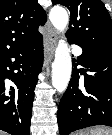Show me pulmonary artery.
<instances>
[{
	"instance_id": "e3ab8cb5",
	"label": "pulmonary artery",
	"mask_w": 112,
	"mask_h": 135,
	"mask_svg": "<svg viewBox=\"0 0 112 135\" xmlns=\"http://www.w3.org/2000/svg\"><path fill=\"white\" fill-rule=\"evenodd\" d=\"M73 51L78 54L81 52V48L79 46H73Z\"/></svg>"
}]
</instances>
